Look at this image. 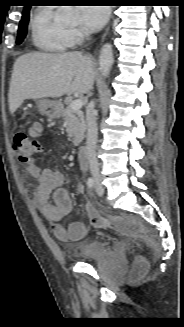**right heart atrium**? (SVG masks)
Wrapping results in <instances>:
<instances>
[{"instance_id":"right-heart-atrium-1","label":"right heart atrium","mask_w":184,"mask_h":327,"mask_svg":"<svg viewBox=\"0 0 184 327\" xmlns=\"http://www.w3.org/2000/svg\"><path fill=\"white\" fill-rule=\"evenodd\" d=\"M69 35L71 38L72 45L80 44L84 38V33L81 30L76 29V28L70 29Z\"/></svg>"}]
</instances>
